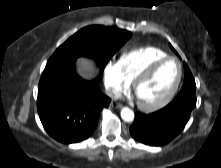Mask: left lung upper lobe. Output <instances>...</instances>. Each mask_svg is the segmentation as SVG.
<instances>
[{"instance_id":"1","label":"left lung upper lobe","mask_w":221,"mask_h":168,"mask_svg":"<svg viewBox=\"0 0 221 168\" xmlns=\"http://www.w3.org/2000/svg\"><path fill=\"white\" fill-rule=\"evenodd\" d=\"M170 47L172 50H174V48L171 45ZM174 52L177 54L175 50ZM184 69H185V76H184V83H183L182 88H196L193 75L191 74V71L189 70L188 66L185 63H184Z\"/></svg>"}]
</instances>
